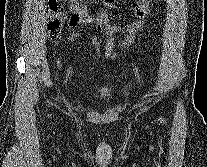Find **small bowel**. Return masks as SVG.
Instances as JSON below:
<instances>
[{"label":"small bowel","instance_id":"c3829d8e","mask_svg":"<svg viewBox=\"0 0 207 167\" xmlns=\"http://www.w3.org/2000/svg\"><path fill=\"white\" fill-rule=\"evenodd\" d=\"M119 0H105L108 7L114 8ZM70 8L73 11V15L70 20V25L72 27L77 25H92L95 24L97 27L108 35L105 43V52L103 57L107 60H115L119 52L114 50L115 42L114 35L117 32L125 33L126 37L122 42V51L126 52L129 47L135 42L136 35L138 32L142 31L146 25V16L151 12L152 0H140L136 6L133 8V19L132 21L125 23L121 26H116L112 23L107 11H102L97 15H93L88 11L87 3L81 0H68ZM82 32L75 31L70 34L69 38L74 39L82 35ZM86 36L91 41L94 49L96 51L97 58L100 57V45L96 37L90 34ZM58 65L62 66L61 62L58 60Z\"/></svg>","mask_w":207,"mask_h":167}]
</instances>
